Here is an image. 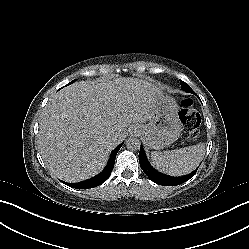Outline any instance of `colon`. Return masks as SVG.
<instances>
[{
    "instance_id": "obj_1",
    "label": "colon",
    "mask_w": 249,
    "mask_h": 249,
    "mask_svg": "<svg viewBox=\"0 0 249 249\" xmlns=\"http://www.w3.org/2000/svg\"><path fill=\"white\" fill-rule=\"evenodd\" d=\"M180 117L183 123L184 136L190 140H195L198 136L200 117L191 98L182 100Z\"/></svg>"
}]
</instances>
